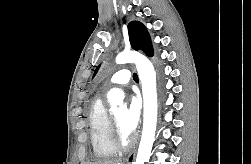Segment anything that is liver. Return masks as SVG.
<instances>
[{
  "label": "liver",
  "instance_id": "liver-1",
  "mask_svg": "<svg viewBox=\"0 0 251 164\" xmlns=\"http://www.w3.org/2000/svg\"><path fill=\"white\" fill-rule=\"evenodd\" d=\"M90 164H123V162L120 159H112V160H106V161H97Z\"/></svg>",
  "mask_w": 251,
  "mask_h": 164
}]
</instances>
